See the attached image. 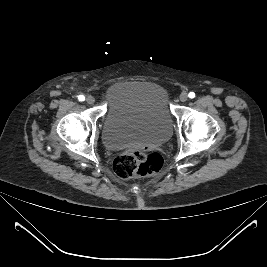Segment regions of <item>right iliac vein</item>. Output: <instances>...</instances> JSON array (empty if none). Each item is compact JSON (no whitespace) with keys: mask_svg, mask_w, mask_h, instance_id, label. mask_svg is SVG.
Instances as JSON below:
<instances>
[{"mask_svg":"<svg viewBox=\"0 0 267 267\" xmlns=\"http://www.w3.org/2000/svg\"><path fill=\"white\" fill-rule=\"evenodd\" d=\"M86 102H87V104L92 105V104H94L95 99H94L93 96H87L86 97Z\"/></svg>","mask_w":267,"mask_h":267,"instance_id":"right-iliac-vein-1","label":"right iliac vein"}]
</instances>
